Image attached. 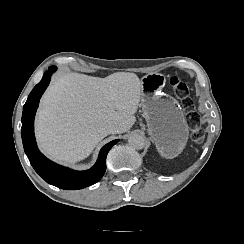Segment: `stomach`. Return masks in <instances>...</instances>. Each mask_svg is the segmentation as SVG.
Segmentation results:
<instances>
[{"label":"stomach","instance_id":"0dacf381","mask_svg":"<svg viewBox=\"0 0 244 244\" xmlns=\"http://www.w3.org/2000/svg\"><path fill=\"white\" fill-rule=\"evenodd\" d=\"M166 78L149 73L141 78V105L149 135L162 157L172 159L185 148L189 130L178 101L163 92Z\"/></svg>","mask_w":244,"mask_h":244}]
</instances>
